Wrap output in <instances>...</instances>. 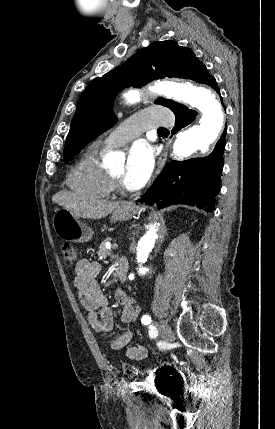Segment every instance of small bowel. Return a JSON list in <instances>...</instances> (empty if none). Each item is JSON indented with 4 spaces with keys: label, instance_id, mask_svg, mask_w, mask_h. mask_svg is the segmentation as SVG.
Segmentation results:
<instances>
[{
    "label": "small bowel",
    "instance_id": "obj_1",
    "mask_svg": "<svg viewBox=\"0 0 275 429\" xmlns=\"http://www.w3.org/2000/svg\"><path fill=\"white\" fill-rule=\"evenodd\" d=\"M101 271L99 263L88 259H81L75 266L74 285L78 290L81 304L87 312V319L92 328L102 334L112 331L114 326L113 313L109 305V299L102 292L98 276ZM117 302L122 306L120 320L123 324L133 323L139 313L136 301L123 290L115 292ZM132 332L124 331L111 342L115 351L126 349V355L131 360H142L147 356V349L142 345H129Z\"/></svg>",
    "mask_w": 275,
    "mask_h": 429
}]
</instances>
